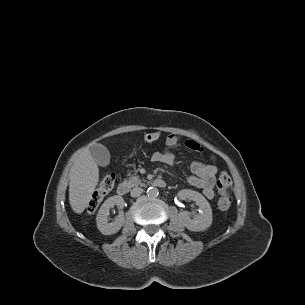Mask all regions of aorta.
I'll return each instance as SVG.
<instances>
[{
    "mask_svg": "<svg viewBox=\"0 0 305 305\" xmlns=\"http://www.w3.org/2000/svg\"><path fill=\"white\" fill-rule=\"evenodd\" d=\"M159 194V190L156 187H149L147 189V196L150 198H155Z\"/></svg>",
    "mask_w": 305,
    "mask_h": 305,
    "instance_id": "762f6f07",
    "label": "aorta"
}]
</instances>
